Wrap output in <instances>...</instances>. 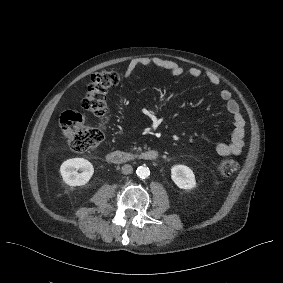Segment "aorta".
<instances>
[{
    "label": "aorta",
    "mask_w": 283,
    "mask_h": 283,
    "mask_svg": "<svg viewBox=\"0 0 283 283\" xmlns=\"http://www.w3.org/2000/svg\"><path fill=\"white\" fill-rule=\"evenodd\" d=\"M136 174L138 177L144 179L150 175V170L146 166H139L136 170Z\"/></svg>",
    "instance_id": "aorta-1"
}]
</instances>
